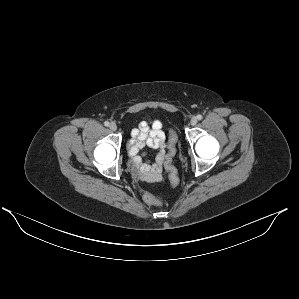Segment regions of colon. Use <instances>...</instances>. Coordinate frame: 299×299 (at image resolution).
Returning a JSON list of instances; mask_svg holds the SVG:
<instances>
[{
    "label": "colon",
    "mask_w": 299,
    "mask_h": 299,
    "mask_svg": "<svg viewBox=\"0 0 299 299\" xmlns=\"http://www.w3.org/2000/svg\"><path fill=\"white\" fill-rule=\"evenodd\" d=\"M175 143H176V136L174 133H172L169 141V155L167 161L168 165L170 163L172 156L174 155ZM170 178H171V185L175 187L178 184V178L176 172L171 167H170ZM143 198L148 205L156 206V207H161L163 205V202L153 192H146Z\"/></svg>",
    "instance_id": "obj_1"
}]
</instances>
